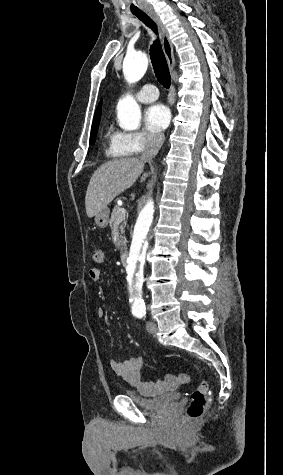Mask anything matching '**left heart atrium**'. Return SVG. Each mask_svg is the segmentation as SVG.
<instances>
[{"instance_id": "39dd6f15", "label": "left heart atrium", "mask_w": 283, "mask_h": 475, "mask_svg": "<svg viewBox=\"0 0 283 475\" xmlns=\"http://www.w3.org/2000/svg\"><path fill=\"white\" fill-rule=\"evenodd\" d=\"M171 112L164 104H154L145 113L147 127L155 132L164 131L170 124Z\"/></svg>"}]
</instances>
